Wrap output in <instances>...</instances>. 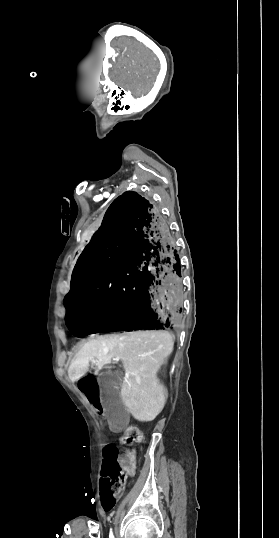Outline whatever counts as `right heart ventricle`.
I'll return each mask as SVG.
<instances>
[{
	"label": "right heart ventricle",
	"instance_id": "obj_1",
	"mask_svg": "<svg viewBox=\"0 0 279 538\" xmlns=\"http://www.w3.org/2000/svg\"><path fill=\"white\" fill-rule=\"evenodd\" d=\"M57 229H58V232H59L61 235H65V233H64V227H63L62 223H59V224H58Z\"/></svg>",
	"mask_w": 279,
	"mask_h": 538
}]
</instances>
